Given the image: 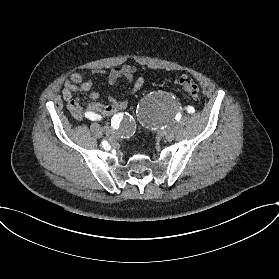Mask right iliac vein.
Wrapping results in <instances>:
<instances>
[{"mask_svg": "<svg viewBox=\"0 0 279 279\" xmlns=\"http://www.w3.org/2000/svg\"><path fill=\"white\" fill-rule=\"evenodd\" d=\"M103 130H104L105 134L110 137L113 136V134H114L113 130L110 127H104Z\"/></svg>", "mask_w": 279, "mask_h": 279, "instance_id": "1", "label": "right iliac vein"}]
</instances>
